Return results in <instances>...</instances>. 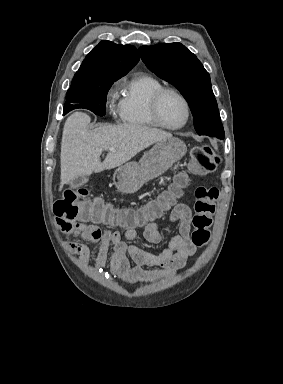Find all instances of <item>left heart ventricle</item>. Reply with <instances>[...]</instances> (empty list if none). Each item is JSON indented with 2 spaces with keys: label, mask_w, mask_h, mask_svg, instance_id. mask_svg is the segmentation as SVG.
<instances>
[{
  "label": "left heart ventricle",
  "mask_w": 283,
  "mask_h": 384,
  "mask_svg": "<svg viewBox=\"0 0 283 384\" xmlns=\"http://www.w3.org/2000/svg\"><path fill=\"white\" fill-rule=\"evenodd\" d=\"M159 116L161 121L170 127L181 125L186 117L183 102L174 94H166L159 106Z\"/></svg>",
  "instance_id": "left-heart-ventricle-1"
}]
</instances>
